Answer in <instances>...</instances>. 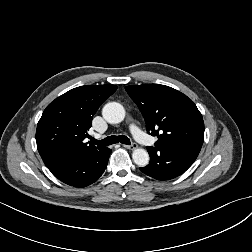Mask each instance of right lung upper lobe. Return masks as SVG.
I'll return each mask as SVG.
<instances>
[{
  "label": "right lung upper lobe",
  "instance_id": "cb5924a9",
  "mask_svg": "<svg viewBox=\"0 0 252 252\" xmlns=\"http://www.w3.org/2000/svg\"><path fill=\"white\" fill-rule=\"evenodd\" d=\"M117 89L115 85H85L52 101L44 110L36 130L39 154L47 167L79 153H98L105 146L85 142L93 115Z\"/></svg>",
  "mask_w": 252,
  "mask_h": 252
}]
</instances>
